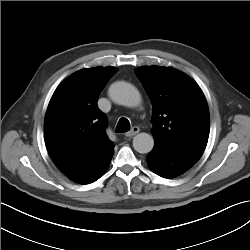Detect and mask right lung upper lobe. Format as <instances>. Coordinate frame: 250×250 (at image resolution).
<instances>
[{
    "instance_id": "1",
    "label": "right lung upper lobe",
    "mask_w": 250,
    "mask_h": 250,
    "mask_svg": "<svg viewBox=\"0 0 250 250\" xmlns=\"http://www.w3.org/2000/svg\"><path fill=\"white\" fill-rule=\"evenodd\" d=\"M117 71L111 66L79 70L57 87L50 100L45 142L53 162L67 177L83 171L114 147L97 100Z\"/></svg>"
}]
</instances>
